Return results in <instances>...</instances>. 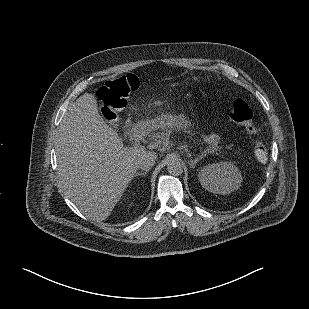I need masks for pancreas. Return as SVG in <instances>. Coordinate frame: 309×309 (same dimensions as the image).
<instances>
[{"label": "pancreas", "instance_id": "1", "mask_svg": "<svg viewBox=\"0 0 309 309\" xmlns=\"http://www.w3.org/2000/svg\"><path fill=\"white\" fill-rule=\"evenodd\" d=\"M152 140L161 141V143L169 138V131H164L162 133H154L151 135Z\"/></svg>", "mask_w": 309, "mask_h": 309}]
</instances>
